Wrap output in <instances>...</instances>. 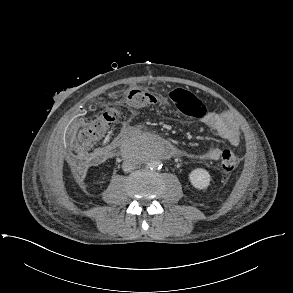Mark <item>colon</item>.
Here are the masks:
<instances>
[{"mask_svg": "<svg viewBox=\"0 0 293 293\" xmlns=\"http://www.w3.org/2000/svg\"><path fill=\"white\" fill-rule=\"evenodd\" d=\"M172 100L184 114L194 115L198 98L191 92L184 89H177L172 93ZM154 102L149 92L136 88L129 91L126 95L125 106L128 109H138L153 105ZM120 115L121 112L118 108H110L98 118L88 123L79 131L78 139L80 145L84 148L94 145L115 124ZM238 162V157L229 147H221V167L224 170H234Z\"/></svg>", "mask_w": 293, "mask_h": 293, "instance_id": "colon-1", "label": "colon"}]
</instances>
